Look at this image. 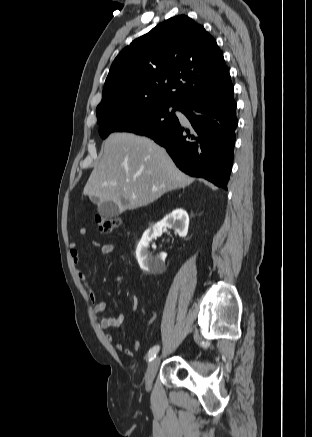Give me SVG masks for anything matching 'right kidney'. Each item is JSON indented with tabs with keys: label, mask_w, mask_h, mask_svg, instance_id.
Returning a JSON list of instances; mask_svg holds the SVG:
<instances>
[{
	"label": "right kidney",
	"mask_w": 312,
	"mask_h": 437,
	"mask_svg": "<svg viewBox=\"0 0 312 437\" xmlns=\"http://www.w3.org/2000/svg\"><path fill=\"white\" fill-rule=\"evenodd\" d=\"M189 216L186 211L176 209L166 215L160 222L150 226L143 234L137 249L136 258L140 267L149 272H158L164 267V257H153L148 252L149 243L162 233V228H174L180 237L188 232Z\"/></svg>",
	"instance_id": "right-kidney-1"
}]
</instances>
